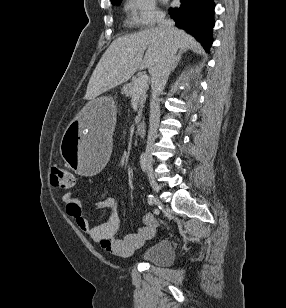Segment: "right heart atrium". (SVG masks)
Listing matches in <instances>:
<instances>
[{"label": "right heart atrium", "mask_w": 286, "mask_h": 308, "mask_svg": "<svg viewBox=\"0 0 286 308\" xmlns=\"http://www.w3.org/2000/svg\"><path fill=\"white\" fill-rule=\"evenodd\" d=\"M125 10L131 23L140 28L154 26L162 19L155 0H126Z\"/></svg>", "instance_id": "d8ad5b80"}]
</instances>
